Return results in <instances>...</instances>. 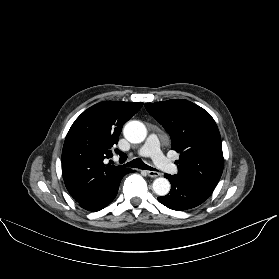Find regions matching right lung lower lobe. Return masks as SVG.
<instances>
[{"label":"right lung lower lobe","mask_w":279,"mask_h":279,"mask_svg":"<svg viewBox=\"0 0 279 279\" xmlns=\"http://www.w3.org/2000/svg\"><path fill=\"white\" fill-rule=\"evenodd\" d=\"M133 172V171H131ZM120 181H117L113 186H111L104 194L94 198L90 201L80 203L79 205L88 211H99L107 206L116 197Z\"/></svg>","instance_id":"obj_1"}]
</instances>
